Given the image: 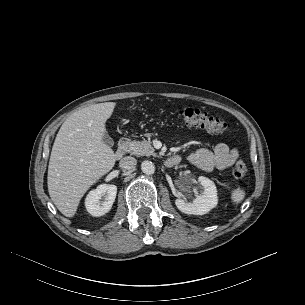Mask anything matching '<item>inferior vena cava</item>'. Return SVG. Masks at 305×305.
Instances as JSON below:
<instances>
[{
	"label": "inferior vena cava",
	"instance_id": "602c4592",
	"mask_svg": "<svg viewBox=\"0 0 305 305\" xmlns=\"http://www.w3.org/2000/svg\"><path fill=\"white\" fill-rule=\"evenodd\" d=\"M120 167L125 170H131L137 165V160L133 157H124L120 160Z\"/></svg>",
	"mask_w": 305,
	"mask_h": 305
}]
</instances>
